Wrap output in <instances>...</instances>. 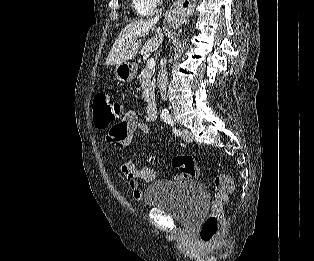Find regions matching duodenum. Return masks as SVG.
<instances>
[{"label": "duodenum", "mask_w": 314, "mask_h": 261, "mask_svg": "<svg viewBox=\"0 0 314 261\" xmlns=\"http://www.w3.org/2000/svg\"><path fill=\"white\" fill-rule=\"evenodd\" d=\"M146 114H147V117H148L150 120H155V119H156V116H157V108H156V105H155L153 102H150V103L147 105Z\"/></svg>", "instance_id": "obj_1"}]
</instances>
